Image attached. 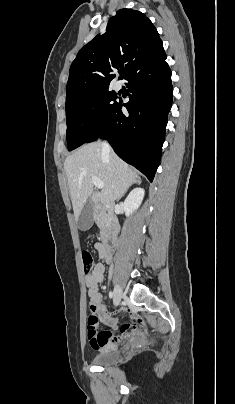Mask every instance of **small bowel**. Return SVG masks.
<instances>
[{"instance_id": "small-bowel-1", "label": "small bowel", "mask_w": 235, "mask_h": 404, "mask_svg": "<svg viewBox=\"0 0 235 404\" xmlns=\"http://www.w3.org/2000/svg\"><path fill=\"white\" fill-rule=\"evenodd\" d=\"M94 248L97 251L99 258L102 261L109 263L106 261V251L103 244L101 242H96L94 244ZM104 274L105 266L102 262H99L94 266L92 271L85 276V284L88 288V296L90 299V310L92 314L99 317L107 326L111 327L112 329H117V322L111 317L109 311L103 305V296L99 292V284L103 281ZM124 312L132 317H135L140 322V318L132 309L127 307L125 308ZM119 331V335H114L110 330L98 332L96 329L95 333L88 330L90 346L93 349L100 351L114 349L118 343L128 339L131 335L143 333L144 327L141 324L133 326L129 323H125L120 326Z\"/></svg>"}]
</instances>
